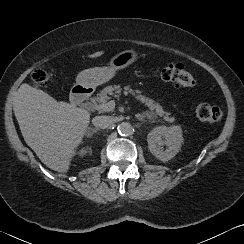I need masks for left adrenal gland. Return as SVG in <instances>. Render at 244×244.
Instances as JSON below:
<instances>
[{
  "label": "left adrenal gland",
  "instance_id": "obj_1",
  "mask_svg": "<svg viewBox=\"0 0 244 244\" xmlns=\"http://www.w3.org/2000/svg\"><path fill=\"white\" fill-rule=\"evenodd\" d=\"M145 118H146V115H145V114H138V115H137V119H138L139 121H145Z\"/></svg>",
  "mask_w": 244,
  "mask_h": 244
}]
</instances>
